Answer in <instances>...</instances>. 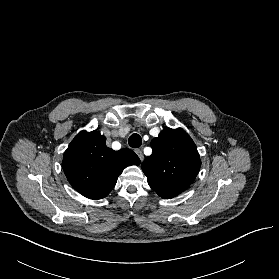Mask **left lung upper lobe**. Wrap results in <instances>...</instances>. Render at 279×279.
I'll use <instances>...</instances> for the list:
<instances>
[{"label":"left lung upper lobe","instance_id":"5c2ea615","mask_svg":"<svg viewBox=\"0 0 279 279\" xmlns=\"http://www.w3.org/2000/svg\"><path fill=\"white\" fill-rule=\"evenodd\" d=\"M153 153L141 168L149 186L162 198H173L195 180L201 165L197 147L181 128H165L151 142Z\"/></svg>","mask_w":279,"mask_h":279}]
</instances>
